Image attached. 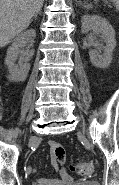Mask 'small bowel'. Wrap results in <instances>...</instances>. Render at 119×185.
Masks as SVG:
<instances>
[{
	"label": "small bowel",
	"instance_id": "obj_1",
	"mask_svg": "<svg viewBox=\"0 0 119 185\" xmlns=\"http://www.w3.org/2000/svg\"><path fill=\"white\" fill-rule=\"evenodd\" d=\"M50 145V152H51V163L53 167L56 169L57 172L61 175V181H58L56 179H47V178H39L36 177L34 179L35 185H65V184H71L72 177L68 175L63 168V164L65 161V149L64 147L57 141L51 140L49 141ZM27 172L30 174L36 173V168L28 166Z\"/></svg>",
	"mask_w": 119,
	"mask_h": 185
}]
</instances>
